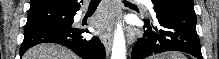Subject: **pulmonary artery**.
I'll return each mask as SVG.
<instances>
[{"label": "pulmonary artery", "instance_id": "e3ab8cb5", "mask_svg": "<svg viewBox=\"0 0 219 59\" xmlns=\"http://www.w3.org/2000/svg\"><path fill=\"white\" fill-rule=\"evenodd\" d=\"M141 2L143 5H145L148 9H152L153 5L151 1H139Z\"/></svg>", "mask_w": 219, "mask_h": 59}]
</instances>
